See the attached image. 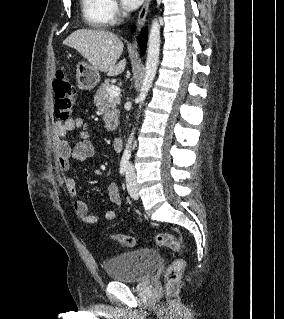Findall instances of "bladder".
Wrapping results in <instances>:
<instances>
[{"instance_id":"31cf9c89","label":"bladder","mask_w":284,"mask_h":319,"mask_svg":"<svg viewBox=\"0 0 284 319\" xmlns=\"http://www.w3.org/2000/svg\"><path fill=\"white\" fill-rule=\"evenodd\" d=\"M159 252L142 248L123 252L104 262L107 276L118 282H137L151 274L160 264Z\"/></svg>"}]
</instances>
